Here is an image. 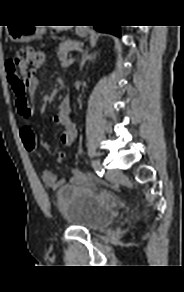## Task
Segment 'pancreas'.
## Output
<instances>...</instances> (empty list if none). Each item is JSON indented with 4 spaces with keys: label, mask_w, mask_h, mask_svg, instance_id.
<instances>
[{
    "label": "pancreas",
    "mask_w": 184,
    "mask_h": 292,
    "mask_svg": "<svg viewBox=\"0 0 184 292\" xmlns=\"http://www.w3.org/2000/svg\"><path fill=\"white\" fill-rule=\"evenodd\" d=\"M81 43L80 42H76V41H64L59 45L58 51H57V55L59 57L60 60H63L66 58L67 54L72 51V50H76L80 47Z\"/></svg>",
    "instance_id": "obj_1"
}]
</instances>
